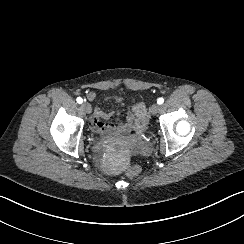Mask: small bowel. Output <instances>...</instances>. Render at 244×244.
I'll return each instance as SVG.
<instances>
[{
	"mask_svg": "<svg viewBox=\"0 0 244 244\" xmlns=\"http://www.w3.org/2000/svg\"><path fill=\"white\" fill-rule=\"evenodd\" d=\"M94 94L89 93L88 98L90 100L94 99ZM117 103H122V99L119 96L112 97ZM118 114L113 110L103 109L101 106L97 105L93 111L92 124L93 127L101 132L102 134H124L131 130H135L134 123L137 121L134 116V112L131 109H126L124 115V121H117ZM114 118V121L109 123H104V121ZM141 133L142 131H137Z\"/></svg>",
	"mask_w": 244,
	"mask_h": 244,
	"instance_id": "obj_1",
	"label": "small bowel"
}]
</instances>
